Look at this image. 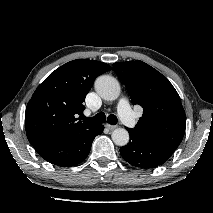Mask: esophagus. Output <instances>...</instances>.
Returning <instances> with one entry per match:
<instances>
[{
	"mask_svg": "<svg viewBox=\"0 0 213 213\" xmlns=\"http://www.w3.org/2000/svg\"><path fill=\"white\" fill-rule=\"evenodd\" d=\"M105 127L108 128L109 130H114L117 128L116 125H110V124H106Z\"/></svg>",
	"mask_w": 213,
	"mask_h": 213,
	"instance_id": "34e87169",
	"label": "esophagus"
}]
</instances>
